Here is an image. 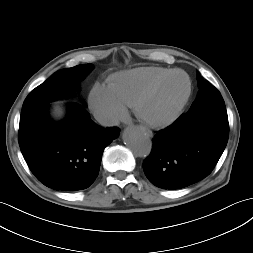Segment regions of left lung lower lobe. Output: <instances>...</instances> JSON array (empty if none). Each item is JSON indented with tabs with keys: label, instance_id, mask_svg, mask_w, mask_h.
<instances>
[{
	"label": "left lung lower lobe",
	"instance_id": "1",
	"mask_svg": "<svg viewBox=\"0 0 253 253\" xmlns=\"http://www.w3.org/2000/svg\"><path fill=\"white\" fill-rule=\"evenodd\" d=\"M229 136L226 109L200 116L182 115L159 131L143 163L149 181L163 189H180L207 177L221 157Z\"/></svg>",
	"mask_w": 253,
	"mask_h": 253
}]
</instances>
